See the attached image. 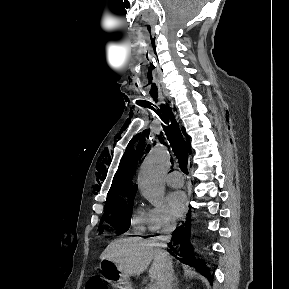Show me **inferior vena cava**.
<instances>
[{
    "label": "inferior vena cava",
    "instance_id": "inferior-vena-cava-1",
    "mask_svg": "<svg viewBox=\"0 0 289 289\" xmlns=\"http://www.w3.org/2000/svg\"><path fill=\"white\" fill-rule=\"evenodd\" d=\"M175 227V224L165 225L163 229V233L165 234V236L162 237V241L167 242L170 240L171 233L174 231ZM173 280L174 276L172 265L164 260L162 275L158 283L159 289H173Z\"/></svg>",
    "mask_w": 289,
    "mask_h": 289
}]
</instances>
